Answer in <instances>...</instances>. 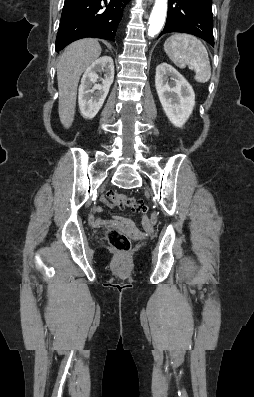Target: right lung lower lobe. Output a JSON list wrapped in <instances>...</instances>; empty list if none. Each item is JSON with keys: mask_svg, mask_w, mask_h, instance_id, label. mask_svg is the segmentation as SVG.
<instances>
[{"mask_svg": "<svg viewBox=\"0 0 254 397\" xmlns=\"http://www.w3.org/2000/svg\"><path fill=\"white\" fill-rule=\"evenodd\" d=\"M130 0H65L56 38L59 52L71 42L94 37L114 41Z\"/></svg>", "mask_w": 254, "mask_h": 397, "instance_id": "right-lung-lower-lobe-1", "label": "right lung lower lobe"}]
</instances>
